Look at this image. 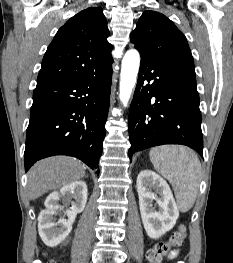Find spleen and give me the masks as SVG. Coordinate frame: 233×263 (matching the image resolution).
<instances>
[{
    "label": "spleen",
    "instance_id": "spleen-1",
    "mask_svg": "<svg viewBox=\"0 0 233 263\" xmlns=\"http://www.w3.org/2000/svg\"><path fill=\"white\" fill-rule=\"evenodd\" d=\"M149 156L155 170L172 185L179 210H190L196 201L201 176L197 154L186 146L164 145L152 148Z\"/></svg>",
    "mask_w": 233,
    "mask_h": 263
}]
</instances>
